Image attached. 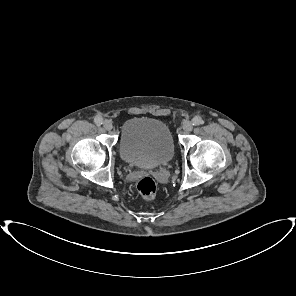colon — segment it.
<instances>
[{
  "mask_svg": "<svg viewBox=\"0 0 296 296\" xmlns=\"http://www.w3.org/2000/svg\"><path fill=\"white\" fill-rule=\"evenodd\" d=\"M137 189L143 197L151 199L156 194L157 185L151 177H144L138 182Z\"/></svg>",
  "mask_w": 296,
  "mask_h": 296,
  "instance_id": "obj_1",
  "label": "colon"
}]
</instances>
